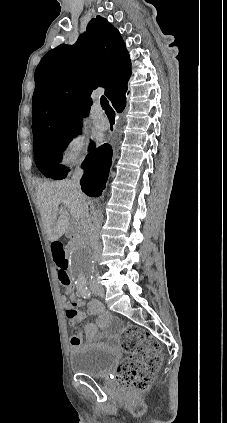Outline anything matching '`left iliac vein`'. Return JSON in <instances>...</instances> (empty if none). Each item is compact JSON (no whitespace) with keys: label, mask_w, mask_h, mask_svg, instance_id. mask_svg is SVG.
<instances>
[{"label":"left iliac vein","mask_w":227,"mask_h":423,"mask_svg":"<svg viewBox=\"0 0 227 423\" xmlns=\"http://www.w3.org/2000/svg\"><path fill=\"white\" fill-rule=\"evenodd\" d=\"M92 291L94 294H97V290L95 288H92Z\"/></svg>","instance_id":"1"}]
</instances>
